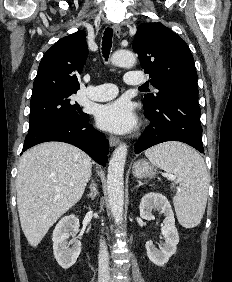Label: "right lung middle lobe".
Listing matches in <instances>:
<instances>
[{"instance_id":"dd1d6c3e","label":"right lung middle lobe","mask_w":232,"mask_h":282,"mask_svg":"<svg viewBox=\"0 0 232 282\" xmlns=\"http://www.w3.org/2000/svg\"><path fill=\"white\" fill-rule=\"evenodd\" d=\"M76 91L43 89L32 92L29 130L38 129L58 119H81L87 116L77 102L72 101Z\"/></svg>"}]
</instances>
